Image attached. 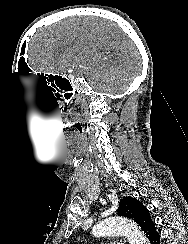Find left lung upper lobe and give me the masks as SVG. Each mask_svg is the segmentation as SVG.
<instances>
[{
  "label": "left lung upper lobe",
  "mask_w": 188,
  "mask_h": 244,
  "mask_svg": "<svg viewBox=\"0 0 188 244\" xmlns=\"http://www.w3.org/2000/svg\"><path fill=\"white\" fill-rule=\"evenodd\" d=\"M120 216L131 218L141 226L144 216L149 213L147 208L138 200L132 197H124L117 209Z\"/></svg>",
  "instance_id": "1"
}]
</instances>
